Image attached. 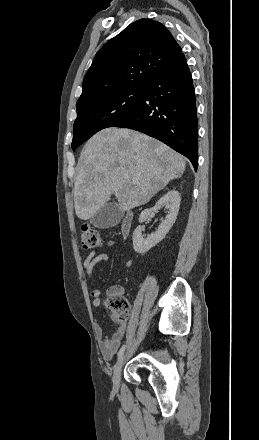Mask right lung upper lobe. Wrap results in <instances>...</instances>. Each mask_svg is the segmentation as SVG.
<instances>
[{"mask_svg":"<svg viewBox=\"0 0 259 440\" xmlns=\"http://www.w3.org/2000/svg\"><path fill=\"white\" fill-rule=\"evenodd\" d=\"M182 56L181 47L163 24L135 21L96 53L76 108L119 90L148 88Z\"/></svg>","mask_w":259,"mask_h":440,"instance_id":"obj_1","label":"right lung upper lobe"}]
</instances>
